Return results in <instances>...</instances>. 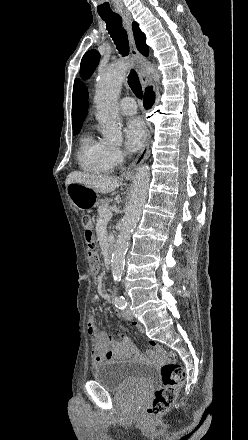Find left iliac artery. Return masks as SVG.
I'll return each mask as SVG.
<instances>
[{"instance_id": "left-iliac-artery-1", "label": "left iliac artery", "mask_w": 248, "mask_h": 440, "mask_svg": "<svg viewBox=\"0 0 248 440\" xmlns=\"http://www.w3.org/2000/svg\"><path fill=\"white\" fill-rule=\"evenodd\" d=\"M114 303H115V306L119 309H124L127 306V302L122 295H117L114 298Z\"/></svg>"}]
</instances>
